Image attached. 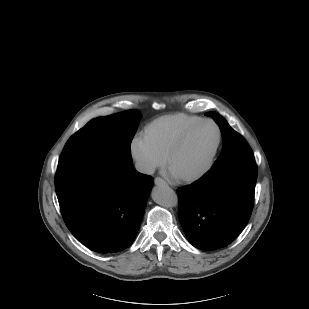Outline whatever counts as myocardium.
I'll list each match as a JSON object with an SVG mask.
<instances>
[{"label": "myocardium", "instance_id": "1", "mask_svg": "<svg viewBox=\"0 0 309 309\" xmlns=\"http://www.w3.org/2000/svg\"><path fill=\"white\" fill-rule=\"evenodd\" d=\"M203 124H212L216 127L217 132H218V140L216 143V146L214 148V151L212 153V156L208 162V164L198 173L193 174V175H188V176H181V177H177L178 180L182 183H192V182H196L200 179H202L203 177H205L213 168L218 153L220 151V148L222 146V142H223V131L222 128L220 127V125L213 119H202L196 123H194L193 125H191L190 127H188L185 131H183L181 133V135L175 140V142L172 144V146L170 147L169 151L167 152L166 156H165V164L168 166L171 159L173 158V156L179 151V149L182 147V145L186 142V140L189 138V136L201 125Z\"/></svg>", "mask_w": 309, "mask_h": 309}]
</instances>
